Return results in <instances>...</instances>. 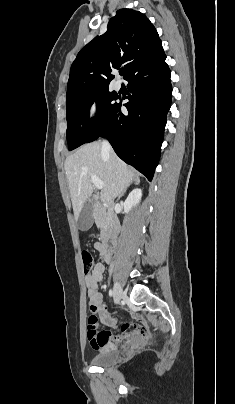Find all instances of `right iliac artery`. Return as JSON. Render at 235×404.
Wrapping results in <instances>:
<instances>
[{
	"instance_id": "1",
	"label": "right iliac artery",
	"mask_w": 235,
	"mask_h": 404,
	"mask_svg": "<svg viewBox=\"0 0 235 404\" xmlns=\"http://www.w3.org/2000/svg\"><path fill=\"white\" fill-rule=\"evenodd\" d=\"M109 295H110V297L113 296V291L112 290L109 291Z\"/></svg>"
}]
</instances>
